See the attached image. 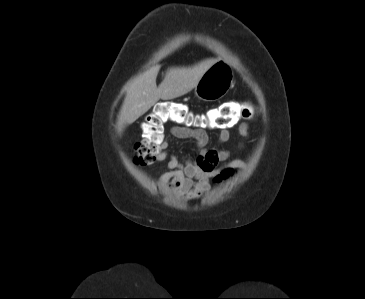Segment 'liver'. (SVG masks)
Returning a JSON list of instances; mask_svg holds the SVG:
<instances>
[{
    "label": "liver",
    "mask_w": 365,
    "mask_h": 299,
    "mask_svg": "<svg viewBox=\"0 0 365 299\" xmlns=\"http://www.w3.org/2000/svg\"><path fill=\"white\" fill-rule=\"evenodd\" d=\"M215 62L214 59H207L190 68H171L158 87L156 77L159 67L151 68L134 79L127 89L118 117V130L121 132L125 125L135 122L159 99L170 100L190 92Z\"/></svg>",
    "instance_id": "6515ba94"
}]
</instances>
